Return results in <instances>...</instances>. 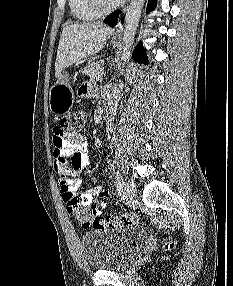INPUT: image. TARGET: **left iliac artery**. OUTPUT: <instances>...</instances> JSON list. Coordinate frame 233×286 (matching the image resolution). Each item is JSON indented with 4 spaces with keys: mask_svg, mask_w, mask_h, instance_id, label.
Wrapping results in <instances>:
<instances>
[{
    "mask_svg": "<svg viewBox=\"0 0 233 286\" xmlns=\"http://www.w3.org/2000/svg\"><path fill=\"white\" fill-rule=\"evenodd\" d=\"M121 180H122V176L121 174L119 173V171L116 172V188H117V191L118 193L120 194L121 191H122V183H121Z\"/></svg>",
    "mask_w": 233,
    "mask_h": 286,
    "instance_id": "obj_1",
    "label": "left iliac artery"
}]
</instances>
